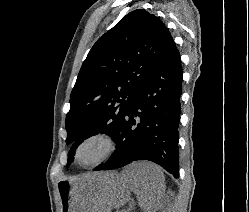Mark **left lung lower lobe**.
<instances>
[{
  "label": "left lung lower lobe",
  "instance_id": "obj_1",
  "mask_svg": "<svg viewBox=\"0 0 249 212\" xmlns=\"http://www.w3.org/2000/svg\"><path fill=\"white\" fill-rule=\"evenodd\" d=\"M181 84L180 55L173 42L132 99L118 130L115 152L94 170L148 160L177 178Z\"/></svg>",
  "mask_w": 249,
  "mask_h": 212
}]
</instances>
